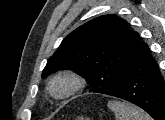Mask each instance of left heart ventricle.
<instances>
[{"label":"left heart ventricle","instance_id":"1","mask_svg":"<svg viewBox=\"0 0 165 120\" xmlns=\"http://www.w3.org/2000/svg\"><path fill=\"white\" fill-rule=\"evenodd\" d=\"M62 88H63V86H62V85H59V86H58V89H59V90H60V89H62Z\"/></svg>","mask_w":165,"mask_h":120}]
</instances>
